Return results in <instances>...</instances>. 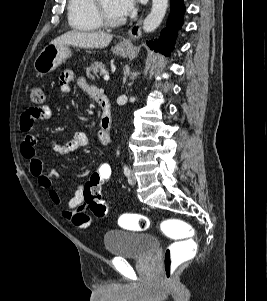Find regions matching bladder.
<instances>
[{
    "label": "bladder",
    "mask_w": 267,
    "mask_h": 301,
    "mask_svg": "<svg viewBox=\"0 0 267 301\" xmlns=\"http://www.w3.org/2000/svg\"><path fill=\"white\" fill-rule=\"evenodd\" d=\"M103 243L108 254L122 258H147L160 245L156 235L121 229L105 232Z\"/></svg>",
    "instance_id": "obj_1"
}]
</instances>
